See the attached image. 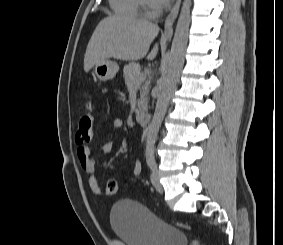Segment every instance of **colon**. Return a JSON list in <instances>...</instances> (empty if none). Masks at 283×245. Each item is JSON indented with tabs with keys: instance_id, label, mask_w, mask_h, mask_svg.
Returning a JSON list of instances; mask_svg holds the SVG:
<instances>
[{
	"instance_id": "colon-1",
	"label": "colon",
	"mask_w": 283,
	"mask_h": 245,
	"mask_svg": "<svg viewBox=\"0 0 283 245\" xmlns=\"http://www.w3.org/2000/svg\"><path fill=\"white\" fill-rule=\"evenodd\" d=\"M93 115H92V105L87 100L84 110L79 114L78 117V129L75 135V141L77 144H84L91 141L93 137ZM105 192L107 195L113 196L118 192V185L115 180H109L106 185ZM177 226L191 230V227L187 224L176 223Z\"/></svg>"
}]
</instances>
